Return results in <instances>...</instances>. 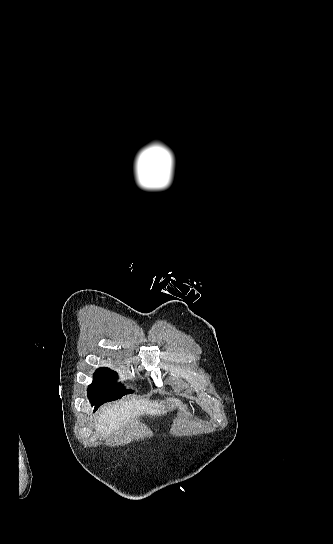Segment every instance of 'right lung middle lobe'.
Segmentation results:
<instances>
[{
	"label": "right lung middle lobe",
	"instance_id": "right-lung-middle-lobe-1",
	"mask_svg": "<svg viewBox=\"0 0 333 544\" xmlns=\"http://www.w3.org/2000/svg\"><path fill=\"white\" fill-rule=\"evenodd\" d=\"M118 374L107 368H98L93 375V382L88 386V398L96 410L105 402L113 401L124 395L133 393V390H126L121 383H116Z\"/></svg>",
	"mask_w": 333,
	"mask_h": 544
}]
</instances>
